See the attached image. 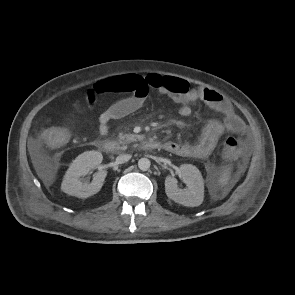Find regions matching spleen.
Returning a JSON list of instances; mask_svg holds the SVG:
<instances>
[{"label":"spleen","instance_id":"1","mask_svg":"<svg viewBox=\"0 0 295 295\" xmlns=\"http://www.w3.org/2000/svg\"><path fill=\"white\" fill-rule=\"evenodd\" d=\"M230 177V171L228 169L224 170L218 180L219 185H225Z\"/></svg>","mask_w":295,"mask_h":295}]
</instances>
